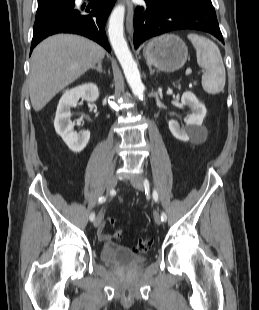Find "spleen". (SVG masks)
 <instances>
[{
  "label": "spleen",
  "instance_id": "obj_1",
  "mask_svg": "<svg viewBox=\"0 0 259 310\" xmlns=\"http://www.w3.org/2000/svg\"><path fill=\"white\" fill-rule=\"evenodd\" d=\"M187 37L196 49L198 65L204 69L203 89L209 94L220 93L225 86L226 73L219 48L213 41L198 34L190 33Z\"/></svg>",
  "mask_w": 259,
  "mask_h": 310
}]
</instances>
